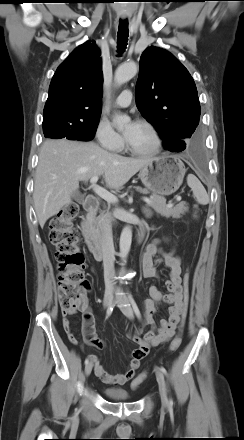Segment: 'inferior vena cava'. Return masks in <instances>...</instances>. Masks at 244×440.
<instances>
[{
    "mask_svg": "<svg viewBox=\"0 0 244 440\" xmlns=\"http://www.w3.org/2000/svg\"><path fill=\"white\" fill-rule=\"evenodd\" d=\"M101 248L103 255L105 288L107 291H113L115 285L113 280L115 250L113 244L112 229L109 221H106L104 223V226L101 230Z\"/></svg>",
    "mask_w": 244,
    "mask_h": 440,
    "instance_id": "inferior-vena-cava-1",
    "label": "inferior vena cava"
}]
</instances>
